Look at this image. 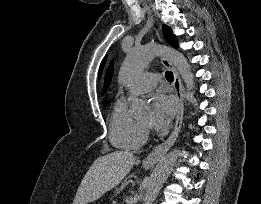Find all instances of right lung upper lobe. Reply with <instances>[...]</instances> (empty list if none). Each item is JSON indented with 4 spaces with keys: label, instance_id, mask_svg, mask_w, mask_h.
<instances>
[{
    "label": "right lung upper lobe",
    "instance_id": "cb5924a9",
    "mask_svg": "<svg viewBox=\"0 0 261 204\" xmlns=\"http://www.w3.org/2000/svg\"><path fill=\"white\" fill-rule=\"evenodd\" d=\"M113 69H114V64H113V62H111L110 66L107 70L106 76H105L104 90H103L102 94L105 93V91L108 89V87L111 83V79H112V75H113Z\"/></svg>",
    "mask_w": 261,
    "mask_h": 204
}]
</instances>
